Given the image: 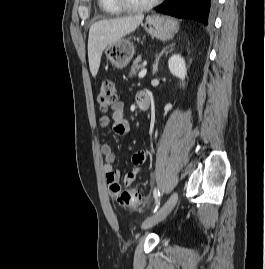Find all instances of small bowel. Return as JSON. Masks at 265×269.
<instances>
[{"label":"small bowel","mask_w":265,"mask_h":269,"mask_svg":"<svg viewBox=\"0 0 265 269\" xmlns=\"http://www.w3.org/2000/svg\"><path fill=\"white\" fill-rule=\"evenodd\" d=\"M141 95H146L148 97L146 93L138 92L136 94L137 104ZM99 125L102 128L112 127L114 132L119 136L126 135L130 130V124L124 116V104L122 102H118L115 105V108L111 117L106 116V115L101 116L99 119ZM101 152L105 158V164H104L103 170L105 173L106 181L109 184L110 189L111 187L119 188V185H118L119 173L113 167V164L116 160V153L114 152L112 146L107 143L102 145ZM147 157H148V150L146 149L139 150L132 155V158H131L132 167L124 177V184L126 186H129L135 182V180L141 173L142 165L147 160Z\"/></svg>","instance_id":"small-bowel-1"}]
</instances>
